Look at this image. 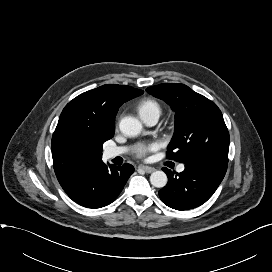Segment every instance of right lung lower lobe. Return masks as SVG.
Returning a JSON list of instances; mask_svg holds the SVG:
<instances>
[{
  "instance_id": "1",
  "label": "right lung lower lobe",
  "mask_w": 272,
  "mask_h": 272,
  "mask_svg": "<svg viewBox=\"0 0 272 272\" xmlns=\"http://www.w3.org/2000/svg\"><path fill=\"white\" fill-rule=\"evenodd\" d=\"M134 167H121L102 161L93 164L72 179L61 184L66 194L76 203L87 208H101L112 203L124 188Z\"/></svg>"
}]
</instances>
